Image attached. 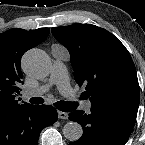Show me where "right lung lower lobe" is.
<instances>
[{"mask_svg":"<svg viewBox=\"0 0 145 145\" xmlns=\"http://www.w3.org/2000/svg\"><path fill=\"white\" fill-rule=\"evenodd\" d=\"M58 119L49 105H28L0 117V145H38L41 130Z\"/></svg>","mask_w":145,"mask_h":145,"instance_id":"obj_1","label":"right lung lower lobe"}]
</instances>
